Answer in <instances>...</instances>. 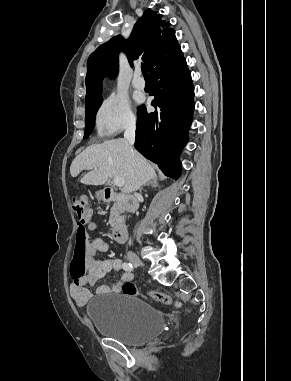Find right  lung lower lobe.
<instances>
[{
  "label": "right lung lower lobe",
  "mask_w": 291,
  "mask_h": 381,
  "mask_svg": "<svg viewBox=\"0 0 291 381\" xmlns=\"http://www.w3.org/2000/svg\"><path fill=\"white\" fill-rule=\"evenodd\" d=\"M152 105L148 113L138 108L135 148L158 164L165 175L177 179L181 174L179 153L187 143L194 109V87L182 51L156 67L151 73Z\"/></svg>",
  "instance_id": "right-lung-lower-lobe-1"
}]
</instances>
